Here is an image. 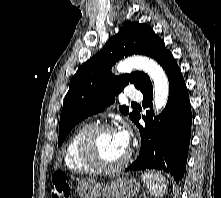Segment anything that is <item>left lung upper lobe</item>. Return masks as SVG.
Wrapping results in <instances>:
<instances>
[{
  "mask_svg": "<svg viewBox=\"0 0 221 198\" xmlns=\"http://www.w3.org/2000/svg\"><path fill=\"white\" fill-rule=\"evenodd\" d=\"M164 42L146 24L129 23L109 39L103 49L77 70L71 78L60 114L58 146H61L70 130L84 118L101 112L115 101V96L131 83L139 90L149 84L144 72H133L121 76L111 73L112 66L120 59L141 54L154 58L161 66L170 54ZM129 114L132 121L137 111L129 113L128 107H119Z\"/></svg>",
  "mask_w": 221,
  "mask_h": 198,
  "instance_id": "1",
  "label": "left lung upper lobe"
}]
</instances>
